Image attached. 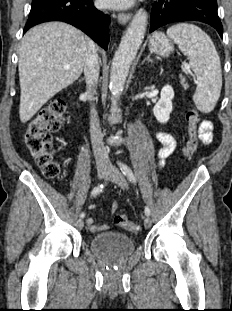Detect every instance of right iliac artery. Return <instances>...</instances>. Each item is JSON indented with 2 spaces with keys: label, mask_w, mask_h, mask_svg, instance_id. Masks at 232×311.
<instances>
[{
  "label": "right iliac artery",
  "mask_w": 232,
  "mask_h": 311,
  "mask_svg": "<svg viewBox=\"0 0 232 311\" xmlns=\"http://www.w3.org/2000/svg\"><path fill=\"white\" fill-rule=\"evenodd\" d=\"M104 186H105V184H100V185L96 186V187L92 190V192H91L92 196H96V195H98L99 193H101L102 190L104 189ZM84 217H85V213L82 212V213L80 214V218H84Z\"/></svg>",
  "instance_id": "82829eb1"
}]
</instances>
